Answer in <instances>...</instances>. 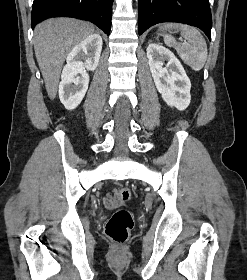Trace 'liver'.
<instances>
[{
  "label": "liver",
  "instance_id": "liver-1",
  "mask_svg": "<svg viewBox=\"0 0 247 280\" xmlns=\"http://www.w3.org/2000/svg\"><path fill=\"white\" fill-rule=\"evenodd\" d=\"M93 33L92 24L71 18L48 19L35 27V55L50 99L56 97L61 70L69 52Z\"/></svg>",
  "mask_w": 247,
  "mask_h": 280
}]
</instances>
